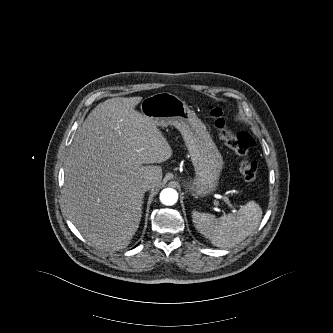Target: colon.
<instances>
[{"label":"colon","mask_w":333,"mask_h":333,"mask_svg":"<svg viewBox=\"0 0 333 333\" xmlns=\"http://www.w3.org/2000/svg\"><path fill=\"white\" fill-rule=\"evenodd\" d=\"M207 112L213 119L214 125L218 129L220 137L242 158L239 169L244 180L249 185H255L257 180V164L255 161L247 158L248 152L255 145L254 139L245 131L238 133L230 131L226 126L222 108L218 106H209Z\"/></svg>","instance_id":"obj_1"}]
</instances>
